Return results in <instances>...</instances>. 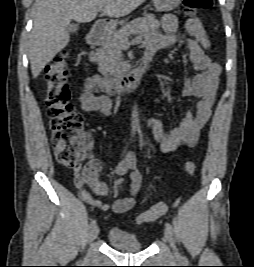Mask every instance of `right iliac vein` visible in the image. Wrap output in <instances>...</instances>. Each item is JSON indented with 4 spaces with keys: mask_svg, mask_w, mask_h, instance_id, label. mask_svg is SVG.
Segmentation results:
<instances>
[{
    "mask_svg": "<svg viewBox=\"0 0 254 267\" xmlns=\"http://www.w3.org/2000/svg\"><path fill=\"white\" fill-rule=\"evenodd\" d=\"M98 234H99V227L95 225L90 230L89 241H93L94 239H96Z\"/></svg>",
    "mask_w": 254,
    "mask_h": 267,
    "instance_id": "63e3f726",
    "label": "right iliac vein"
}]
</instances>
